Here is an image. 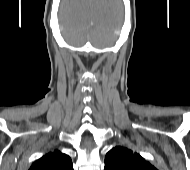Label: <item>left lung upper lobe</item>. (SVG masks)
<instances>
[{
  "instance_id": "left-lung-upper-lobe-1",
  "label": "left lung upper lobe",
  "mask_w": 190,
  "mask_h": 170,
  "mask_svg": "<svg viewBox=\"0 0 190 170\" xmlns=\"http://www.w3.org/2000/svg\"><path fill=\"white\" fill-rule=\"evenodd\" d=\"M104 170H157V168L138 153L116 146L106 154Z\"/></svg>"
}]
</instances>
